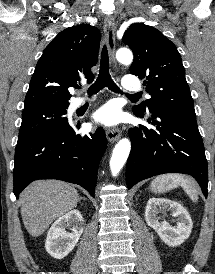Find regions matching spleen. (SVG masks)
<instances>
[{"instance_id":"spleen-1","label":"spleen","mask_w":215,"mask_h":274,"mask_svg":"<svg viewBox=\"0 0 215 274\" xmlns=\"http://www.w3.org/2000/svg\"><path fill=\"white\" fill-rule=\"evenodd\" d=\"M181 186L193 201H197L198 193L193 181L183 175H165L154 179L151 182V189L155 193L169 191L175 187Z\"/></svg>"}]
</instances>
